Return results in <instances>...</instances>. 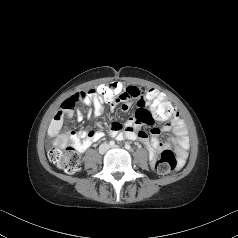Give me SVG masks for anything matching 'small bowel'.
Instances as JSON below:
<instances>
[{"mask_svg":"<svg viewBox=\"0 0 238 238\" xmlns=\"http://www.w3.org/2000/svg\"><path fill=\"white\" fill-rule=\"evenodd\" d=\"M146 92L147 91L136 86H128L121 91V94H119L117 98H119V103H122V109L128 111L132 101L135 100L137 110L134 114V118L129 120L125 125L117 122L112 123L109 127V134L117 140H140L147 146L149 158L152 163L155 162L158 154L173 145L179 156V161L182 163L189 147L187 129L184 123L175 113L171 119L166 120V124L162 129L156 128L155 126L158 120L153 113L149 111L150 101L146 97ZM101 95L104 94H96V90H91L81 101L85 105L93 106V116L95 118L100 117L104 112V103L101 100ZM109 104L111 107H115L118 103ZM72 116L73 108L64 109L62 107V110L54 116L49 127V133L54 136L55 145L65 147L69 141H72L77 151L84 152L90 148L94 142L101 139L104 133L99 130H80L77 133H62L61 128L64 117ZM76 116L79 121L82 120V111L78 110ZM142 124L152 128L149 133L141 129ZM169 130H172L176 137L172 138L168 143L161 142L159 139L161 132Z\"/></svg>","mask_w":238,"mask_h":238,"instance_id":"1","label":"small bowel"}]
</instances>
